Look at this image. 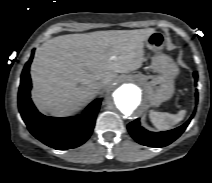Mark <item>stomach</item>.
<instances>
[{"label":"stomach","mask_w":212,"mask_h":183,"mask_svg":"<svg viewBox=\"0 0 212 183\" xmlns=\"http://www.w3.org/2000/svg\"><path fill=\"white\" fill-rule=\"evenodd\" d=\"M165 41V35L158 31L151 33L145 41V47L154 52L151 58V69L158 74L144 75L138 73L132 75L144 88L147 102L151 106H159L162 102L169 100L173 96L174 78L179 73V69L174 61L161 52Z\"/></svg>","instance_id":"1"}]
</instances>
